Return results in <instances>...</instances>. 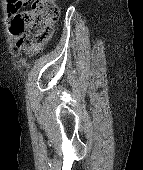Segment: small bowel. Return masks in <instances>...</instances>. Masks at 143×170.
Here are the masks:
<instances>
[{"label":"small bowel","mask_w":143,"mask_h":170,"mask_svg":"<svg viewBox=\"0 0 143 170\" xmlns=\"http://www.w3.org/2000/svg\"><path fill=\"white\" fill-rule=\"evenodd\" d=\"M27 4V0H12V2L9 4V8L12 13H15L17 10L25 8ZM12 36L16 41H19L21 38L20 33L13 34Z\"/></svg>","instance_id":"1"}]
</instances>
